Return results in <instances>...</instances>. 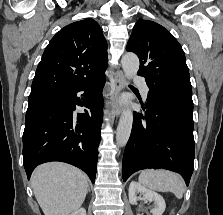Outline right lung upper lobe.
Here are the masks:
<instances>
[{"label":"right lung upper lobe","mask_w":223,"mask_h":215,"mask_svg":"<svg viewBox=\"0 0 223 215\" xmlns=\"http://www.w3.org/2000/svg\"><path fill=\"white\" fill-rule=\"evenodd\" d=\"M107 56V42L96 21L65 26L46 47L30 95L70 93L103 73Z\"/></svg>","instance_id":"right-lung-upper-lobe-1"}]
</instances>
